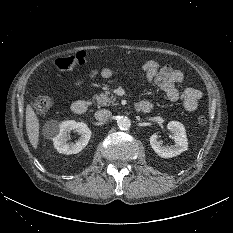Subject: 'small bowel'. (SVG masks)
Returning <instances> with one entry per match:
<instances>
[{"label": "small bowel", "instance_id": "c3829d8e", "mask_svg": "<svg viewBox=\"0 0 233 233\" xmlns=\"http://www.w3.org/2000/svg\"><path fill=\"white\" fill-rule=\"evenodd\" d=\"M144 77L148 82H154L159 89H161L168 100L172 102L181 101L184 108L188 112H193L198 108L199 100L202 97L200 90L188 87L180 91L178 86L183 82V73L179 70L172 68L171 66L160 64L155 60H149L144 63L143 67ZM101 75L104 78H109L114 75V70L111 68H102L101 70H93L88 78L92 79L96 75ZM85 80H80L75 86L76 94L82 93L84 90ZM142 102H150L148 99L142 100Z\"/></svg>", "mask_w": 233, "mask_h": 233}]
</instances>
